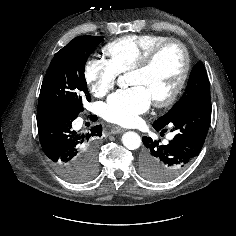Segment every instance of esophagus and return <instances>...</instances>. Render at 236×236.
I'll list each match as a JSON object with an SVG mask.
<instances>
[{"mask_svg":"<svg viewBox=\"0 0 236 236\" xmlns=\"http://www.w3.org/2000/svg\"><path fill=\"white\" fill-rule=\"evenodd\" d=\"M124 131H125V129L122 128V127H119V126H113L111 128V133L112 134H119V133H123Z\"/></svg>","mask_w":236,"mask_h":236,"instance_id":"1","label":"esophagus"}]
</instances>
